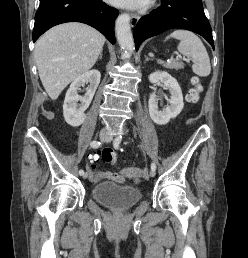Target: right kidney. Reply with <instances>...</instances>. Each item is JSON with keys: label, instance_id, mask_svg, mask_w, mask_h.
Wrapping results in <instances>:
<instances>
[{"label": "right kidney", "instance_id": "obj_1", "mask_svg": "<svg viewBox=\"0 0 248 258\" xmlns=\"http://www.w3.org/2000/svg\"><path fill=\"white\" fill-rule=\"evenodd\" d=\"M101 74L98 70H90L76 78L70 88L67 90L65 95V100L63 104V115L65 121L73 126H80L86 116L85 110L89 107L96 89L100 83ZM85 83H89L87 87L86 94L81 97L78 95L77 91L79 87L83 86ZM80 101L81 104L78 105L77 102Z\"/></svg>", "mask_w": 248, "mask_h": 258}]
</instances>
